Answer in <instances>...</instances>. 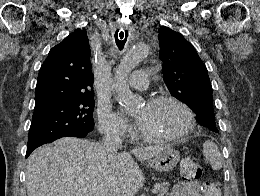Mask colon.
Returning a JSON list of instances; mask_svg holds the SVG:
<instances>
[{
  "label": "colon",
  "instance_id": "5ec220e1",
  "mask_svg": "<svg viewBox=\"0 0 260 196\" xmlns=\"http://www.w3.org/2000/svg\"><path fill=\"white\" fill-rule=\"evenodd\" d=\"M180 176L181 181L183 182L201 181L203 178V171L196 161L184 159L181 163Z\"/></svg>",
  "mask_w": 260,
  "mask_h": 196
}]
</instances>
